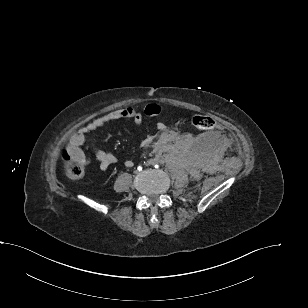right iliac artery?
<instances>
[{
	"mask_svg": "<svg viewBox=\"0 0 308 308\" xmlns=\"http://www.w3.org/2000/svg\"><path fill=\"white\" fill-rule=\"evenodd\" d=\"M137 169H138V171H141V170H142V167H138Z\"/></svg>",
	"mask_w": 308,
	"mask_h": 308,
	"instance_id": "obj_1",
	"label": "right iliac artery"
}]
</instances>
